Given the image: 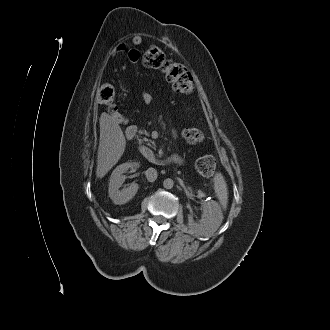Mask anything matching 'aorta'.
Listing matches in <instances>:
<instances>
[{
    "instance_id": "1",
    "label": "aorta",
    "mask_w": 330,
    "mask_h": 330,
    "mask_svg": "<svg viewBox=\"0 0 330 330\" xmlns=\"http://www.w3.org/2000/svg\"><path fill=\"white\" fill-rule=\"evenodd\" d=\"M163 186L166 189H171L174 186V182L171 178H167L163 181Z\"/></svg>"
}]
</instances>
